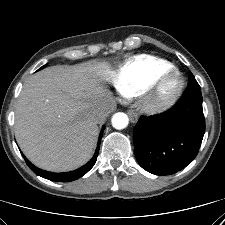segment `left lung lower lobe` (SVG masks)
I'll return each mask as SVG.
<instances>
[{
  "instance_id": "left-lung-lower-lobe-1",
  "label": "left lung lower lobe",
  "mask_w": 225,
  "mask_h": 225,
  "mask_svg": "<svg viewBox=\"0 0 225 225\" xmlns=\"http://www.w3.org/2000/svg\"><path fill=\"white\" fill-rule=\"evenodd\" d=\"M205 132L201 89H186L161 115L142 117L134 128L139 165L155 175L174 174L196 157Z\"/></svg>"
}]
</instances>
